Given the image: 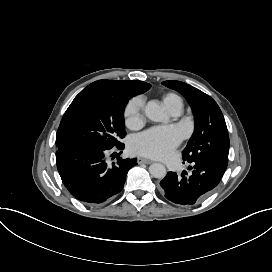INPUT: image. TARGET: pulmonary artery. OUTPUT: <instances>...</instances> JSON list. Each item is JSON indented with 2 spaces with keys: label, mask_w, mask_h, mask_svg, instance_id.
Instances as JSON below:
<instances>
[{
  "label": "pulmonary artery",
  "mask_w": 272,
  "mask_h": 272,
  "mask_svg": "<svg viewBox=\"0 0 272 272\" xmlns=\"http://www.w3.org/2000/svg\"><path fill=\"white\" fill-rule=\"evenodd\" d=\"M182 109H183V102L181 98H178L174 103L171 113L173 115H179L182 112Z\"/></svg>",
  "instance_id": "pulmonary-artery-1"
}]
</instances>
